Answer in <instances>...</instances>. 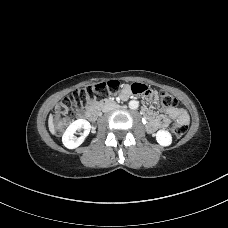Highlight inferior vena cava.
<instances>
[{
	"instance_id": "inferior-vena-cava-1",
	"label": "inferior vena cava",
	"mask_w": 228,
	"mask_h": 228,
	"mask_svg": "<svg viewBox=\"0 0 228 228\" xmlns=\"http://www.w3.org/2000/svg\"><path fill=\"white\" fill-rule=\"evenodd\" d=\"M118 105L116 104H111V105H107L105 107H103V112H109L115 108H117Z\"/></svg>"
}]
</instances>
